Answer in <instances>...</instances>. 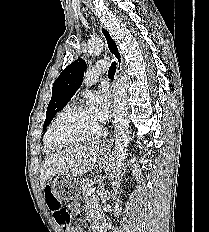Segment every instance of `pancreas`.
I'll return each instance as SVG.
<instances>
[{"label":"pancreas","instance_id":"obj_1","mask_svg":"<svg viewBox=\"0 0 209 232\" xmlns=\"http://www.w3.org/2000/svg\"><path fill=\"white\" fill-rule=\"evenodd\" d=\"M91 185H92V182L89 179H85V180L82 181L81 191H82L83 195H85L86 192L88 190H90Z\"/></svg>","mask_w":209,"mask_h":232}]
</instances>
